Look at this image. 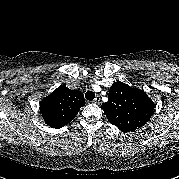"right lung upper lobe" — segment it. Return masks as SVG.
<instances>
[{
    "mask_svg": "<svg viewBox=\"0 0 179 179\" xmlns=\"http://www.w3.org/2000/svg\"><path fill=\"white\" fill-rule=\"evenodd\" d=\"M84 105L82 92L63 84L41 101L40 113L46 124L58 129L70 123Z\"/></svg>",
    "mask_w": 179,
    "mask_h": 179,
    "instance_id": "cb5924a9",
    "label": "right lung upper lobe"
}]
</instances>
